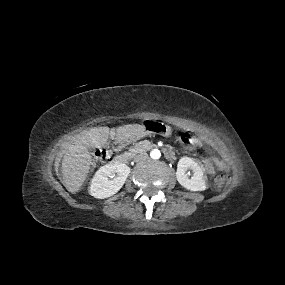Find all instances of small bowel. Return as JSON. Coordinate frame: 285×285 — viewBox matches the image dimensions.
Listing matches in <instances>:
<instances>
[{"label":"small bowel","instance_id":"small-bowel-1","mask_svg":"<svg viewBox=\"0 0 285 285\" xmlns=\"http://www.w3.org/2000/svg\"><path fill=\"white\" fill-rule=\"evenodd\" d=\"M203 164L205 171L210 175H214L218 170H223L226 168V164L223 160L210 154L204 155Z\"/></svg>","mask_w":285,"mask_h":285}]
</instances>
